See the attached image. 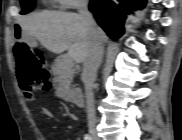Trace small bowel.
I'll list each match as a JSON object with an SVG mask.
<instances>
[{
    "mask_svg": "<svg viewBox=\"0 0 182 140\" xmlns=\"http://www.w3.org/2000/svg\"><path fill=\"white\" fill-rule=\"evenodd\" d=\"M42 113L49 118L51 117V112L46 108L42 109Z\"/></svg>",
    "mask_w": 182,
    "mask_h": 140,
    "instance_id": "c3829d8e",
    "label": "small bowel"
}]
</instances>
